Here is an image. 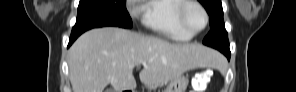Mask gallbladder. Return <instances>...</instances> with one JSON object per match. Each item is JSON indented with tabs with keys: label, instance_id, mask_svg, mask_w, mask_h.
Instances as JSON below:
<instances>
[{
	"label": "gallbladder",
	"instance_id": "1",
	"mask_svg": "<svg viewBox=\"0 0 296 92\" xmlns=\"http://www.w3.org/2000/svg\"><path fill=\"white\" fill-rule=\"evenodd\" d=\"M113 89H107L105 92H113Z\"/></svg>",
	"mask_w": 296,
	"mask_h": 92
}]
</instances>
